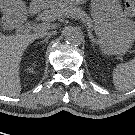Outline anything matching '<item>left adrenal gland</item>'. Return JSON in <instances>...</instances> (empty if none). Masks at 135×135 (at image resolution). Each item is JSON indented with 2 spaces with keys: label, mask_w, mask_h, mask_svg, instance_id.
I'll return each mask as SVG.
<instances>
[{
  "label": "left adrenal gland",
  "mask_w": 135,
  "mask_h": 135,
  "mask_svg": "<svg viewBox=\"0 0 135 135\" xmlns=\"http://www.w3.org/2000/svg\"><path fill=\"white\" fill-rule=\"evenodd\" d=\"M91 41L93 42V39ZM92 45L94 46V44H92ZM93 49H94V47H93Z\"/></svg>",
  "instance_id": "1"
}]
</instances>
